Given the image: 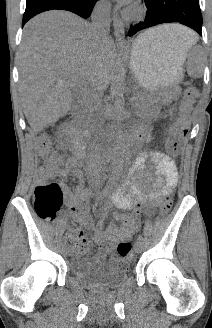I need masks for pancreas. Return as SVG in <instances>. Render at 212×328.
<instances>
[{
	"label": "pancreas",
	"mask_w": 212,
	"mask_h": 328,
	"mask_svg": "<svg viewBox=\"0 0 212 328\" xmlns=\"http://www.w3.org/2000/svg\"><path fill=\"white\" fill-rule=\"evenodd\" d=\"M152 105L153 100L147 96H137L134 102V108L139 113H144Z\"/></svg>",
	"instance_id": "cf45deb5"
}]
</instances>
